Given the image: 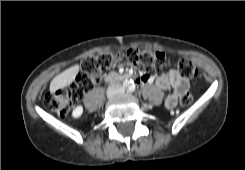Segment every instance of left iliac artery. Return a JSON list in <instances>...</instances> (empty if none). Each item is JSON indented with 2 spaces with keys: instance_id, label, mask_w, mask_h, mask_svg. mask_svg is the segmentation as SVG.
I'll return each instance as SVG.
<instances>
[{
  "instance_id": "left-iliac-artery-1",
  "label": "left iliac artery",
  "mask_w": 245,
  "mask_h": 170,
  "mask_svg": "<svg viewBox=\"0 0 245 170\" xmlns=\"http://www.w3.org/2000/svg\"><path fill=\"white\" fill-rule=\"evenodd\" d=\"M128 91H129V92H134V91H135V84H134V83H132V84L129 86Z\"/></svg>"
}]
</instances>
